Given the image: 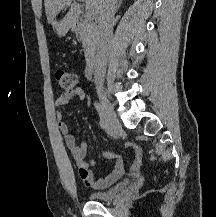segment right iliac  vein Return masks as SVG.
I'll return each instance as SVG.
<instances>
[{
	"label": "right iliac vein",
	"instance_id": "right-iliac-vein-1",
	"mask_svg": "<svg viewBox=\"0 0 216 217\" xmlns=\"http://www.w3.org/2000/svg\"><path fill=\"white\" fill-rule=\"evenodd\" d=\"M98 96L106 115L108 127L113 133L117 134L121 130V124L114 112L113 105L103 90L98 91Z\"/></svg>",
	"mask_w": 216,
	"mask_h": 217
}]
</instances>
